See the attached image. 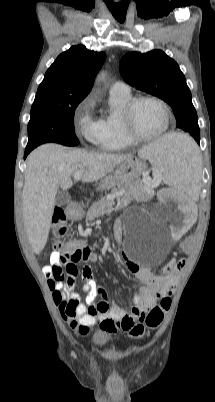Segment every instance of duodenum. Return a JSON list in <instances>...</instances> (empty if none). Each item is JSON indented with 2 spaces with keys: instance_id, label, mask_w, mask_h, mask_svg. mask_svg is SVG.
Returning <instances> with one entry per match:
<instances>
[{
  "instance_id": "obj_1",
  "label": "duodenum",
  "mask_w": 215,
  "mask_h": 402,
  "mask_svg": "<svg viewBox=\"0 0 215 402\" xmlns=\"http://www.w3.org/2000/svg\"><path fill=\"white\" fill-rule=\"evenodd\" d=\"M83 213H84V208H83L82 204L80 203V201H78V200H75L74 202H72L67 208V214L73 220L79 219L83 215Z\"/></svg>"
}]
</instances>
